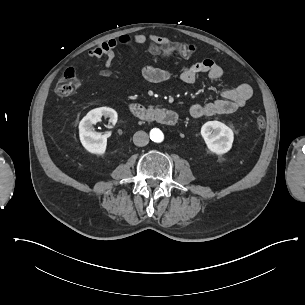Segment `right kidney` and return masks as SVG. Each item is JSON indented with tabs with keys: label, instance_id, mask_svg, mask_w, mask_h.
<instances>
[{
	"label": "right kidney",
	"instance_id": "right-kidney-1",
	"mask_svg": "<svg viewBox=\"0 0 305 305\" xmlns=\"http://www.w3.org/2000/svg\"><path fill=\"white\" fill-rule=\"evenodd\" d=\"M102 116L109 118V121L115 125L118 119L117 112L108 107L93 109L81 120L79 124V134L82 145L91 153L104 154L106 150V139L94 131L93 124L101 121Z\"/></svg>",
	"mask_w": 305,
	"mask_h": 305
}]
</instances>
